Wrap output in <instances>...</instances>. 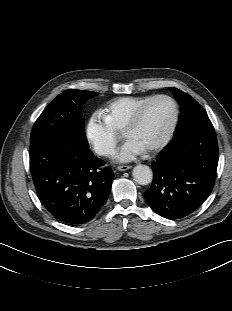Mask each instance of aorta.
<instances>
[{"mask_svg": "<svg viewBox=\"0 0 232 311\" xmlns=\"http://www.w3.org/2000/svg\"><path fill=\"white\" fill-rule=\"evenodd\" d=\"M134 180L140 185H148L152 182L153 172L146 165H137L132 171Z\"/></svg>", "mask_w": 232, "mask_h": 311, "instance_id": "762f6f07", "label": "aorta"}]
</instances>
